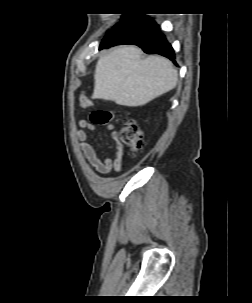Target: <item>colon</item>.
<instances>
[{
  "label": "colon",
  "mask_w": 252,
  "mask_h": 303,
  "mask_svg": "<svg viewBox=\"0 0 252 303\" xmlns=\"http://www.w3.org/2000/svg\"><path fill=\"white\" fill-rule=\"evenodd\" d=\"M83 105H87L86 101H81ZM90 122L95 125H106L112 122L113 113L106 109H96L90 114ZM120 139L123 144L129 146L132 150L141 149L142 140L140 130L136 122L132 118H127L120 132Z\"/></svg>",
  "instance_id": "5ec220e1"
}]
</instances>
